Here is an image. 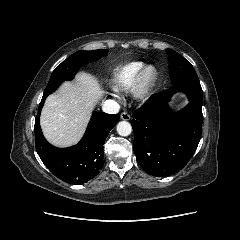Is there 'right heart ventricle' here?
<instances>
[{"mask_svg":"<svg viewBox=\"0 0 240 240\" xmlns=\"http://www.w3.org/2000/svg\"><path fill=\"white\" fill-rule=\"evenodd\" d=\"M144 67L140 61L128 62L116 67L112 73L111 84L115 91H127L136 81L139 73Z\"/></svg>","mask_w":240,"mask_h":240,"instance_id":"1","label":"right heart ventricle"}]
</instances>
